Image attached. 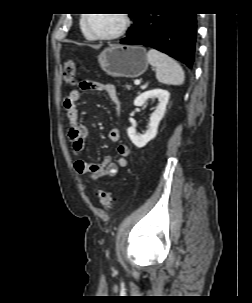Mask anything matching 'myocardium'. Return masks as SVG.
<instances>
[{"instance_id": "1", "label": "myocardium", "mask_w": 252, "mask_h": 303, "mask_svg": "<svg viewBox=\"0 0 252 303\" xmlns=\"http://www.w3.org/2000/svg\"><path fill=\"white\" fill-rule=\"evenodd\" d=\"M119 15L121 16V20H122L121 26L117 30H115L111 33H108V34H93V33H91L87 29L88 17L83 18L81 26H82L84 34L87 37H89L93 40H113V39L119 38L120 36H122L127 31V29L130 26L129 15L127 13H122V14H119Z\"/></svg>"}]
</instances>
